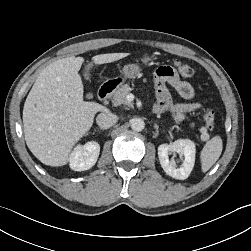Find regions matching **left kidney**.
<instances>
[{
  "mask_svg": "<svg viewBox=\"0 0 251 251\" xmlns=\"http://www.w3.org/2000/svg\"><path fill=\"white\" fill-rule=\"evenodd\" d=\"M178 153L184 156L183 163L176 167L174 160H169V155ZM196 147L190 139H178L172 144H161L158 147V157L165 173L172 178L184 180L190 175L195 163Z\"/></svg>",
  "mask_w": 251,
  "mask_h": 251,
  "instance_id": "left-kidney-1",
  "label": "left kidney"
}]
</instances>
